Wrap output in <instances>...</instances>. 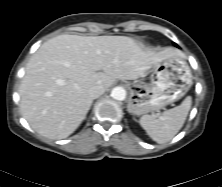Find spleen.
<instances>
[{
  "label": "spleen",
  "instance_id": "1",
  "mask_svg": "<svg viewBox=\"0 0 222 187\" xmlns=\"http://www.w3.org/2000/svg\"><path fill=\"white\" fill-rule=\"evenodd\" d=\"M191 104L192 98L188 96L179 106L164 111L160 117L144 115L139 123L153 141L159 144L167 143L182 128Z\"/></svg>",
  "mask_w": 222,
  "mask_h": 187
}]
</instances>
